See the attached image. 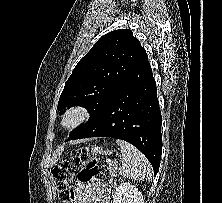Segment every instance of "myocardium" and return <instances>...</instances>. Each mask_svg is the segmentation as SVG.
<instances>
[{"mask_svg": "<svg viewBox=\"0 0 222 203\" xmlns=\"http://www.w3.org/2000/svg\"><path fill=\"white\" fill-rule=\"evenodd\" d=\"M91 117V111L81 105H76L68 108L61 117L60 126L63 130H74L84 123H86Z\"/></svg>", "mask_w": 222, "mask_h": 203, "instance_id": "myocardium-1", "label": "myocardium"}]
</instances>
